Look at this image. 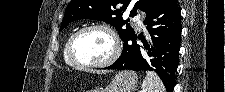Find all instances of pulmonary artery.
I'll return each instance as SVG.
<instances>
[{"label":"pulmonary artery","mask_w":225,"mask_h":92,"mask_svg":"<svg viewBox=\"0 0 225 92\" xmlns=\"http://www.w3.org/2000/svg\"><path fill=\"white\" fill-rule=\"evenodd\" d=\"M133 21L138 25L139 28L143 26V17L140 14L135 15Z\"/></svg>","instance_id":"1"}]
</instances>
